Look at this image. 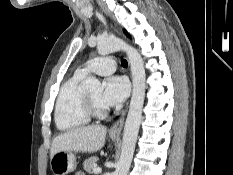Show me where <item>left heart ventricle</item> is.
Returning a JSON list of instances; mask_svg holds the SVG:
<instances>
[{"label":"left heart ventricle","mask_w":233,"mask_h":175,"mask_svg":"<svg viewBox=\"0 0 233 175\" xmlns=\"http://www.w3.org/2000/svg\"><path fill=\"white\" fill-rule=\"evenodd\" d=\"M88 96L99 106H104L101 102V90L88 92Z\"/></svg>","instance_id":"left-heart-ventricle-1"}]
</instances>
